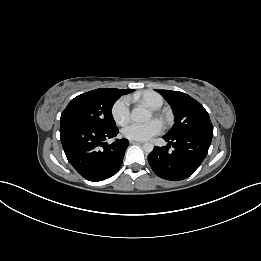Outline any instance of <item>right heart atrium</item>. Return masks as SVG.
Masks as SVG:
<instances>
[{
  "label": "right heart atrium",
  "instance_id": "d8ad5b80",
  "mask_svg": "<svg viewBox=\"0 0 261 261\" xmlns=\"http://www.w3.org/2000/svg\"><path fill=\"white\" fill-rule=\"evenodd\" d=\"M111 114L118 125H124L130 116L129 98L126 96L119 98L112 106Z\"/></svg>",
  "mask_w": 261,
  "mask_h": 261
}]
</instances>
